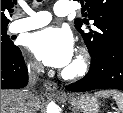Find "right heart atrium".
Instances as JSON below:
<instances>
[{
	"instance_id": "1",
	"label": "right heart atrium",
	"mask_w": 123,
	"mask_h": 113,
	"mask_svg": "<svg viewBox=\"0 0 123 113\" xmlns=\"http://www.w3.org/2000/svg\"><path fill=\"white\" fill-rule=\"evenodd\" d=\"M30 68L33 69V70L37 69V64L34 63V62H31L30 63Z\"/></svg>"
}]
</instances>
